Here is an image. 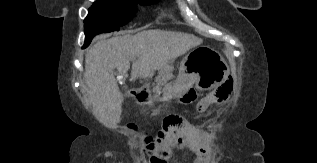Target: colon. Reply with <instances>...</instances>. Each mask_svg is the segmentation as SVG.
Returning <instances> with one entry per match:
<instances>
[{
	"mask_svg": "<svg viewBox=\"0 0 317 163\" xmlns=\"http://www.w3.org/2000/svg\"><path fill=\"white\" fill-rule=\"evenodd\" d=\"M233 89V81L227 80L217 88H215L213 91H211L206 96L199 99V101L196 104V108L200 112H204L208 110L213 104L216 103H222L226 101ZM182 101L184 103H189L191 101L190 95L185 96ZM134 128V127H132ZM158 141V137L151 133V132H143V144L146 152L148 154H152L155 145Z\"/></svg>",
	"mask_w": 317,
	"mask_h": 163,
	"instance_id": "colon-1",
	"label": "colon"
}]
</instances>
